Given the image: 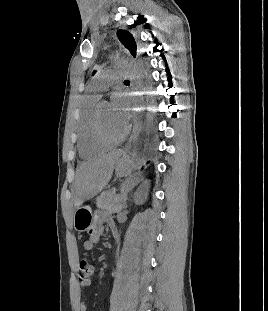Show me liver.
<instances>
[{
  "instance_id": "obj_1",
  "label": "liver",
  "mask_w": 268,
  "mask_h": 311,
  "mask_svg": "<svg viewBox=\"0 0 268 311\" xmlns=\"http://www.w3.org/2000/svg\"><path fill=\"white\" fill-rule=\"evenodd\" d=\"M122 150L111 151L98 159L83 163L77 170L74 187L75 206L79 207L101 192L112 178Z\"/></svg>"
}]
</instances>
